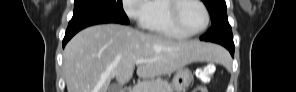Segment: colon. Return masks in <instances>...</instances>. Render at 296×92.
I'll return each mask as SVG.
<instances>
[{"label": "colon", "instance_id": "1", "mask_svg": "<svg viewBox=\"0 0 296 92\" xmlns=\"http://www.w3.org/2000/svg\"><path fill=\"white\" fill-rule=\"evenodd\" d=\"M212 73L213 70L210 66L201 68L198 73L197 76L199 77V79L201 80H209L212 77ZM193 92H208V89L205 86H197Z\"/></svg>", "mask_w": 296, "mask_h": 92}]
</instances>
